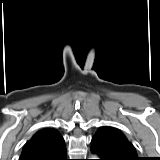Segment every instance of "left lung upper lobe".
Wrapping results in <instances>:
<instances>
[{"instance_id":"obj_1","label":"left lung upper lobe","mask_w":160,"mask_h":160,"mask_svg":"<svg viewBox=\"0 0 160 160\" xmlns=\"http://www.w3.org/2000/svg\"><path fill=\"white\" fill-rule=\"evenodd\" d=\"M102 139L107 148L122 160H141L137 156L135 147L126 136L114 127L104 126L95 133Z\"/></svg>"}]
</instances>
